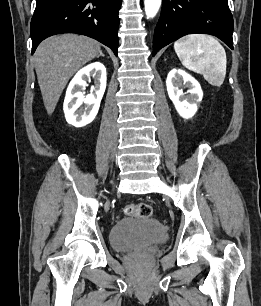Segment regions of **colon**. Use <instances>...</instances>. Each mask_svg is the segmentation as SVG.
<instances>
[{"label": "colon", "mask_w": 261, "mask_h": 306, "mask_svg": "<svg viewBox=\"0 0 261 306\" xmlns=\"http://www.w3.org/2000/svg\"><path fill=\"white\" fill-rule=\"evenodd\" d=\"M124 213L132 217L149 218L152 216V208L146 203L128 204L124 207Z\"/></svg>", "instance_id": "colon-1"}]
</instances>
